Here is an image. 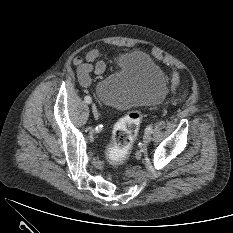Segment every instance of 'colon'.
Instances as JSON below:
<instances>
[{"label":"colon","instance_id":"obj_1","mask_svg":"<svg viewBox=\"0 0 233 233\" xmlns=\"http://www.w3.org/2000/svg\"><path fill=\"white\" fill-rule=\"evenodd\" d=\"M142 115L139 111H130L115 126L113 140L108 149L109 161L116 165L128 155L138 134Z\"/></svg>","mask_w":233,"mask_h":233}]
</instances>
